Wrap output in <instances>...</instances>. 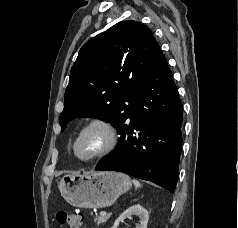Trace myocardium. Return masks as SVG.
I'll use <instances>...</instances> for the list:
<instances>
[{
	"instance_id": "f54148a6",
	"label": "myocardium",
	"mask_w": 238,
	"mask_h": 228,
	"mask_svg": "<svg viewBox=\"0 0 238 228\" xmlns=\"http://www.w3.org/2000/svg\"><path fill=\"white\" fill-rule=\"evenodd\" d=\"M100 130L104 134V143L101 148L89 157H80L77 153V145L84 135L93 131ZM118 142V134L115 126L108 120L103 118H93L86 122L77 132L73 145L72 151L76 159L83 162H90L100 159L110 153Z\"/></svg>"
}]
</instances>
